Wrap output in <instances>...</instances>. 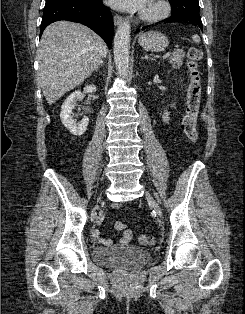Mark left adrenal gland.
Returning a JSON list of instances; mask_svg holds the SVG:
<instances>
[{"label":"left adrenal gland","instance_id":"1","mask_svg":"<svg viewBox=\"0 0 245 314\" xmlns=\"http://www.w3.org/2000/svg\"><path fill=\"white\" fill-rule=\"evenodd\" d=\"M141 59H152V58L149 57L147 54H145L143 57H141Z\"/></svg>","mask_w":245,"mask_h":314}]
</instances>
